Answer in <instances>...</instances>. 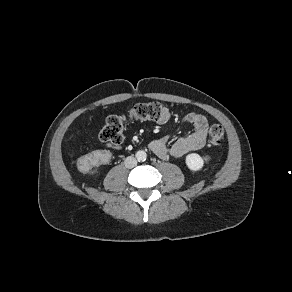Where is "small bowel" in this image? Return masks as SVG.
<instances>
[{
    "label": "small bowel",
    "instance_id": "small-bowel-1",
    "mask_svg": "<svg viewBox=\"0 0 292 292\" xmlns=\"http://www.w3.org/2000/svg\"><path fill=\"white\" fill-rule=\"evenodd\" d=\"M170 119V111L163 108L159 124H165ZM191 126L192 132L177 139L172 144L169 137L154 139L149 143V148L160 158L168 159L171 157L180 158L186 154L196 151L204 146L207 138L208 122L205 116L198 113H188L182 120L180 127ZM109 148L119 150L121 144H108Z\"/></svg>",
    "mask_w": 292,
    "mask_h": 292
}]
</instances>
